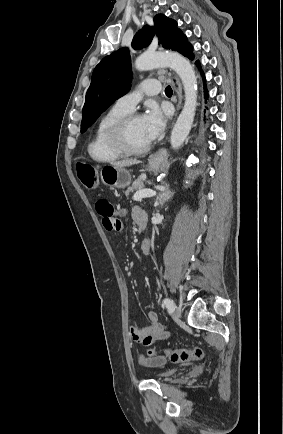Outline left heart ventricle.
Returning <instances> with one entry per match:
<instances>
[{
    "mask_svg": "<svg viewBox=\"0 0 283 434\" xmlns=\"http://www.w3.org/2000/svg\"><path fill=\"white\" fill-rule=\"evenodd\" d=\"M128 139L134 147H142L150 142L143 132L141 118H137L131 122L128 128Z\"/></svg>",
    "mask_w": 283,
    "mask_h": 434,
    "instance_id": "b2bd125f",
    "label": "left heart ventricle"
}]
</instances>
